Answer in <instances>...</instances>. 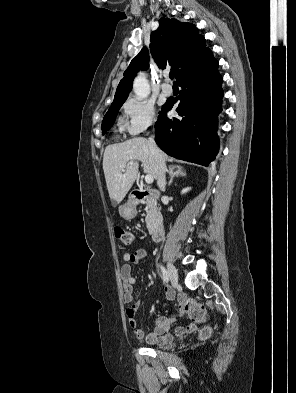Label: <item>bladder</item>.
<instances>
[{"label": "bladder", "mask_w": 296, "mask_h": 393, "mask_svg": "<svg viewBox=\"0 0 296 393\" xmlns=\"http://www.w3.org/2000/svg\"><path fill=\"white\" fill-rule=\"evenodd\" d=\"M171 346H172V342H169L168 344L163 345V346L158 347V348H160V349H168V348H170Z\"/></svg>", "instance_id": "bladder-1"}]
</instances>
